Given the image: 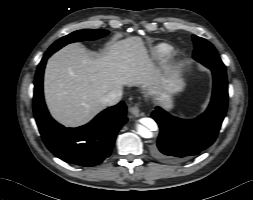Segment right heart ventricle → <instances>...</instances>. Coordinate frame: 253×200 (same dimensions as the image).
I'll list each match as a JSON object with an SVG mask.
<instances>
[{
    "label": "right heart ventricle",
    "instance_id": "1",
    "mask_svg": "<svg viewBox=\"0 0 253 200\" xmlns=\"http://www.w3.org/2000/svg\"><path fill=\"white\" fill-rule=\"evenodd\" d=\"M152 52L155 57H163L171 52V47L166 44H160L155 46Z\"/></svg>",
    "mask_w": 253,
    "mask_h": 200
}]
</instances>
